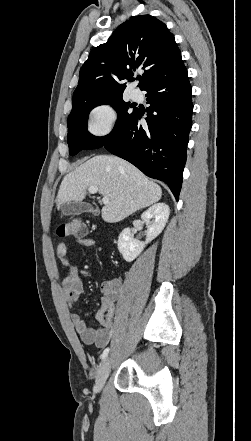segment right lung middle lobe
<instances>
[{
  "label": "right lung middle lobe",
  "mask_w": 251,
  "mask_h": 441,
  "mask_svg": "<svg viewBox=\"0 0 251 441\" xmlns=\"http://www.w3.org/2000/svg\"><path fill=\"white\" fill-rule=\"evenodd\" d=\"M110 104L118 114V120L112 132L103 137H95L87 132L89 112L96 106ZM132 105L124 102L122 96L108 98H83L72 103V111L68 116L67 142L69 154L76 155L83 149H97L102 147L110 137L117 134L132 118L136 109L130 111Z\"/></svg>",
  "instance_id": "right-lung-middle-lobe-1"
}]
</instances>
